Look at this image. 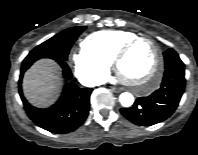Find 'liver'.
<instances>
[{
	"mask_svg": "<svg viewBox=\"0 0 198 155\" xmlns=\"http://www.w3.org/2000/svg\"><path fill=\"white\" fill-rule=\"evenodd\" d=\"M61 86L60 67L51 59L37 61L23 78L24 95L36 107L52 105L60 95Z\"/></svg>",
	"mask_w": 198,
	"mask_h": 155,
	"instance_id": "6515ba94",
	"label": "liver"
}]
</instances>
